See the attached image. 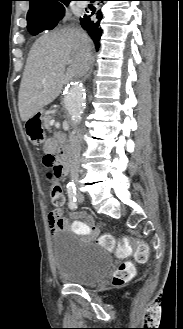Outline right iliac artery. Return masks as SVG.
I'll use <instances>...</instances> for the list:
<instances>
[{
  "instance_id": "1",
  "label": "right iliac artery",
  "mask_w": 183,
  "mask_h": 329,
  "mask_svg": "<svg viewBox=\"0 0 183 329\" xmlns=\"http://www.w3.org/2000/svg\"><path fill=\"white\" fill-rule=\"evenodd\" d=\"M68 197H69V203L68 206L71 210H75L77 208V202H76V189H68Z\"/></svg>"
}]
</instances>
